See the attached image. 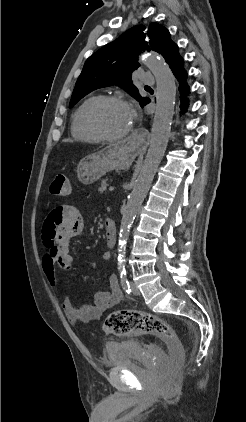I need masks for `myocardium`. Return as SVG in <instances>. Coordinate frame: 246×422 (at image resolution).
I'll return each mask as SVG.
<instances>
[{"mask_svg":"<svg viewBox=\"0 0 246 422\" xmlns=\"http://www.w3.org/2000/svg\"><path fill=\"white\" fill-rule=\"evenodd\" d=\"M108 103H118V104H122V105H125V106L130 108L128 102L125 101L120 96H117V95L101 96V97L97 98L89 106V108L86 112L85 118H86V123H87L88 128L100 141L115 142V141H119V140L125 138L126 136H128L130 134V132L132 131V128H133V120L131 121V124L129 125V127L125 131H123L119 134L111 135V134L106 133L100 127V125L97 121V112L102 106H104L105 104H108Z\"/></svg>","mask_w":246,"mask_h":422,"instance_id":"myocardium-1","label":"myocardium"}]
</instances>
